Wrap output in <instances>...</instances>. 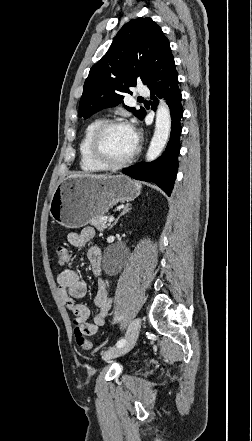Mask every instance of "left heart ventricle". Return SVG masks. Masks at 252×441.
<instances>
[{"label": "left heart ventricle", "mask_w": 252, "mask_h": 441, "mask_svg": "<svg viewBox=\"0 0 252 441\" xmlns=\"http://www.w3.org/2000/svg\"><path fill=\"white\" fill-rule=\"evenodd\" d=\"M102 154L110 162L125 159L135 148L128 126H113L105 131L100 141Z\"/></svg>", "instance_id": "1"}]
</instances>
